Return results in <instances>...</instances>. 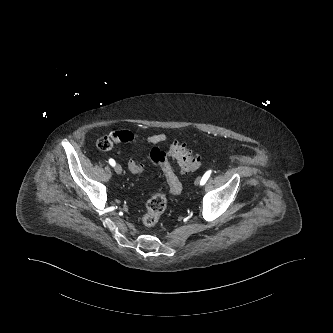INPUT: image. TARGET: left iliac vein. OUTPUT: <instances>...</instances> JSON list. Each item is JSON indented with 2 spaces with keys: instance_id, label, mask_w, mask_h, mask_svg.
<instances>
[{
  "instance_id": "4c4485c4",
  "label": "left iliac vein",
  "mask_w": 333,
  "mask_h": 333,
  "mask_svg": "<svg viewBox=\"0 0 333 333\" xmlns=\"http://www.w3.org/2000/svg\"><path fill=\"white\" fill-rule=\"evenodd\" d=\"M200 181H201V177H198V178H196V180H195V185H198L199 183H200Z\"/></svg>"
}]
</instances>
